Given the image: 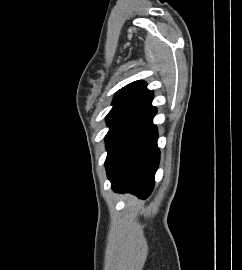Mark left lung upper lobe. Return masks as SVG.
Wrapping results in <instances>:
<instances>
[{"label":"left lung upper lobe","instance_id":"1","mask_svg":"<svg viewBox=\"0 0 242 270\" xmlns=\"http://www.w3.org/2000/svg\"><path fill=\"white\" fill-rule=\"evenodd\" d=\"M152 94L153 91L148 90L143 81H135L120 89L114 97L113 108L106 117L110 129Z\"/></svg>","mask_w":242,"mask_h":270}]
</instances>
